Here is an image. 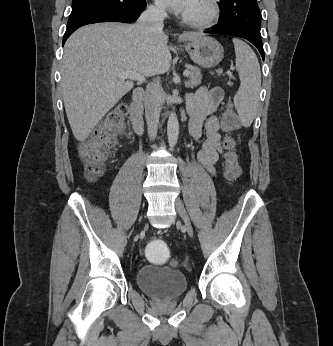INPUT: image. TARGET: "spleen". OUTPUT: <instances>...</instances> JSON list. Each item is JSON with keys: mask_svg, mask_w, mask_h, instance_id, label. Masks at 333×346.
<instances>
[{"mask_svg": "<svg viewBox=\"0 0 333 346\" xmlns=\"http://www.w3.org/2000/svg\"><path fill=\"white\" fill-rule=\"evenodd\" d=\"M236 68L241 81L234 97L235 108L241 122L248 127L252 124L259 105L261 71L258 59L249 45L239 39H233Z\"/></svg>", "mask_w": 333, "mask_h": 346, "instance_id": "obj_1", "label": "spleen"}]
</instances>
